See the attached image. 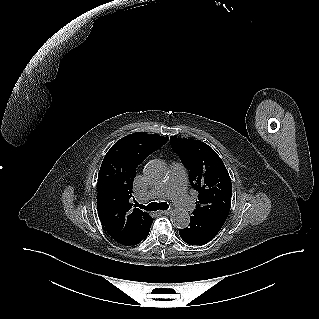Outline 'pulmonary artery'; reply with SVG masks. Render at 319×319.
Returning a JSON list of instances; mask_svg holds the SVG:
<instances>
[{
	"mask_svg": "<svg viewBox=\"0 0 319 319\" xmlns=\"http://www.w3.org/2000/svg\"><path fill=\"white\" fill-rule=\"evenodd\" d=\"M187 174L179 163L171 165V172L165 184L152 189L145 196L146 199L170 198L184 212L192 209L191 198L186 193Z\"/></svg>",
	"mask_w": 319,
	"mask_h": 319,
	"instance_id": "obj_1",
	"label": "pulmonary artery"
}]
</instances>
